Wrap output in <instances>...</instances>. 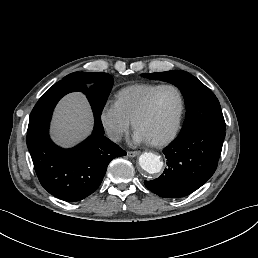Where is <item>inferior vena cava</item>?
<instances>
[{
  "instance_id": "1",
  "label": "inferior vena cava",
  "mask_w": 258,
  "mask_h": 258,
  "mask_svg": "<svg viewBox=\"0 0 258 258\" xmlns=\"http://www.w3.org/2000/svg\"><path fill=\"white\" fill-rule=\"evenodd\" d=\"M107 131V135L108 137L112 140V141H119L121 139V135L119 132H117L116 130L114 129H111V128H108L106 129Z\"/></svg>"
}]
</instances>
